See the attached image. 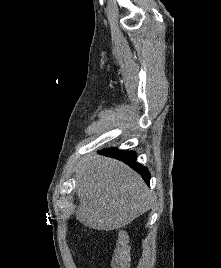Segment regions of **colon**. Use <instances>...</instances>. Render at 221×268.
<instances>
[{"mask_svg": "<svg viewBox=\"0 0 221 268\" xmlns=\"http://www.w3.org/2000/svg\"><path fill=\"white\" fill-rule=\"evenodd\" d=\"M129 267V245L128 237L125 231L118 233L116 247L111 260V268H128Z\"/></svg>", "mask_w": 221, "mask_h": 268, "instance_id": "1", "label": "colon"}]
</instances>
